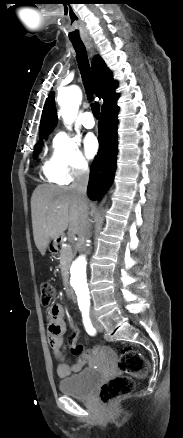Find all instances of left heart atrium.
Returning a JSON list of instances; mask_svg holds the SVG:
<instances>
[{
	"label": "left heart atrium",
	"instance_id": "39dd6f15",
	"mask_svg": "<svg viewBox=\"0 0 183 438\" xmlns=\"http://www.w3.org/2000/svg\"><path fill=\"white\" fill-rule=\"evenodd\" d=\"M85 153L89 158L96 155L99 149V143L97 138L93 134H88L84 139Z\"/></svg>",
	"mask_w": 183,
	"mask_h": 438
}]
</instances>
